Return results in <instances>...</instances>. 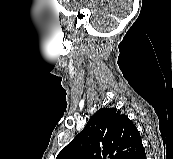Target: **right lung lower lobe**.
<instances>
[{
    "mask_svg": "<svg viewBox=\"0 0 173 159\" xmlns=\"http://www.w3.org/2000/svg\"><path fill=\"white\" fill-rule=\"evenodd\" d=\"M133 159H146L145 150H142L138 155H136Z\"/></svg>",
    "mask_w": 173,
    "mask_h": 159,
    "instance_id": "right-lung-lower-lobe-1",
    "label": "right lung lower lobe"
}]
</instances>
